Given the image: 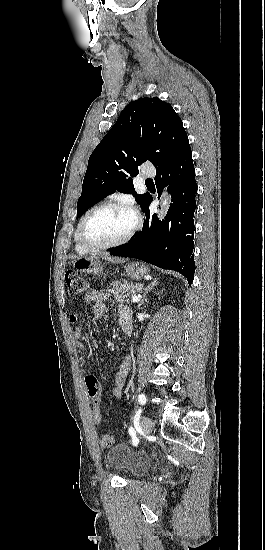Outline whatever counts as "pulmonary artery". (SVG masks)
<instances>
[{
  "instance_id": "obj_1",
  "label": "pulmonary artery",
  "mask_w": 265,
  "mask_h": 550,
  "mask_svg": "<svg viewBox=\"0 0 265 550\" xmlns=\"http://www.w3.org/2000/svg\"><path fill=\"white\" fill-rule=\"evenodd\" d=\"M154 174H155V170H154V169L145 170V171L143 172V175H144L145 177H151V176H153Z\"/></svg>"
}]
</instances>
